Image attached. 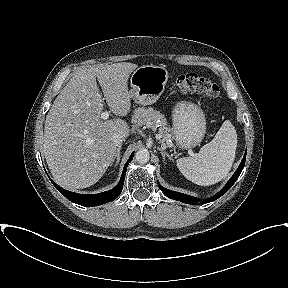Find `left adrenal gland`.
Masks as SVG:
<instances>
[{"mask_svg":"<svg viewBox=\"0 0 288 288\" xmlns=\"http://www.w3.org/2000/svg\"><path fill=\"white\" fill-rule=\"evenodd\" d=\"M157 149L160 151V153H161V155H162L164 160H165V157L167 156L170 160L174 161L173 160V155L172 154L170 155L169 153H167L165 151V147L161 146V147H158Z\"/></svg>","mask_w":288,"mask_h":288,"instance_id":"obj_1","label":"left adrenal gland"}]
</instances>
